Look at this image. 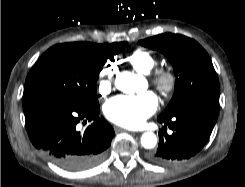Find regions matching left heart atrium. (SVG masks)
Masks as SVG:
<instances>
[{"label": "left heart atrium", "instance_id": "obj_1", "mask_svg": "<svg viewBox=\"0 0 245 187\" xmlns=\"http://www.w3.org/2000/svg\"><path fill=\"white\" fill-rule=\"evenodd\" d=\"M157 107L156 95L148 91L136 96H115L106 102L103 111L111 122L127 128H136L141 126Z\"/></svg>", "mask_w": 245, "mask_h": 187}]
</instances>
